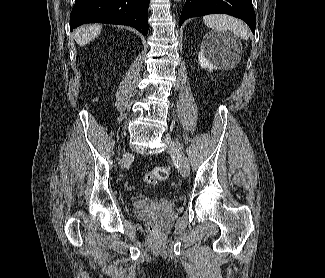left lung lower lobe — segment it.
I'll use <instances>...</instances> for the list:
<instances>
[{
  "instance_id": "0a47b994",
  "label": "left lung lower lobe",
  "mask_w": 325,
  "mask_h": 278,
  "mask_svg": "<svg viewBox=\"0 0 325 278\" xmlns=\"http://www.w3.org/2000/svg\"><path fill=\"white\" fill-rule=\"evenodd\" d=\"M224 13L244 20L255 33L256 16L251 0H186L180 17V26L191 17Z\"/></svg>"
}]
</instances>
